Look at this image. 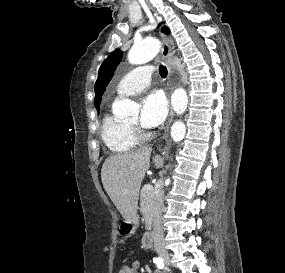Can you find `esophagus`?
Listing matches in <instances>:
<instances>
[{
    "mask_svg": "<svg viewBox=\"0 0 285 273\" xmlns=\"http://www.w3.org/2000/svg\"><path fill=\"white\" fill-rule=\"evenodd\" d=\"M161 41H162L161 57L166 62L167 66H168L169 74H170V80H171L170 83L172 85V83H173L172 77H173V74H174V70L168 63V58L172 54L171 40H170L169 37H167L166 35L161 33ZM173 115L174 114H173L172 110H170L169 119H168V126H169V124L172 121ZM167 129H168V127H167Z\"/></svg>",
    "mask_w": 285,
    "mask_h": 273,
    "instance_id": "esophagus-1",
    "label": "esophagus"
}]
</instances>
